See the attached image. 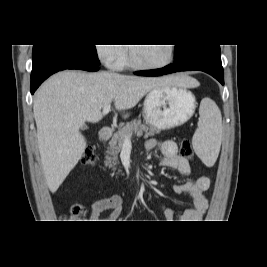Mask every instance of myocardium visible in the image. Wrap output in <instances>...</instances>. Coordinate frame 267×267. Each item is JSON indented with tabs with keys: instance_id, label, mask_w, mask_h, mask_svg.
I'll return each mask as SVG.
<instances>
[{
	"instance_id": "obj_1",
	"label": "myocardium",
	"mask_w": 267,
	"mask_h": 267,
	"mask_svg": "<svg viewBox=\"0 0 267 267\" xmlns=\"http://www.w3.org/2000/svg\"><path fill=\"white\" fill-rule=\"evenodd\" d=\"M167 45L169 48V56L167 60L164 61L163 63L157 64V65H149V64H143V63L138 62L134 57L132 46L127 47V55H126L127 62L131 67H134L140 70H158V69L167 67L168 65L172 63L174 59V53H175L173 44H167Z\"/></svg>"
}]
</instances>
